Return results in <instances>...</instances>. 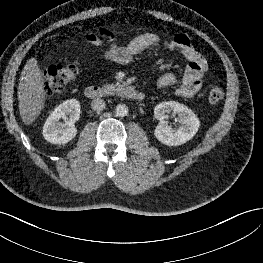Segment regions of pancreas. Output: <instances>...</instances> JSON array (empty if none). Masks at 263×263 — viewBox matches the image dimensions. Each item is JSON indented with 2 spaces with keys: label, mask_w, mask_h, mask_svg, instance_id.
<instances>
[{
  "label": "pancreas",
  "mask_w": 263,
  "mask_h": 263,
  "mask_svg": "<svg viewBox=\"0 0 263 263\" xmlns=\"http://www.w3.org/2000/svg\"><path fill=\"white\" fill-rule=\"evenodd\" d=\"M121 88L122 87L120 85H117V84H105V85H103V89H104V92L106 94H113L116 91L121 90Z\"/></svg>",
  "instance_id": "cf45deb5"
}]
</instances>
